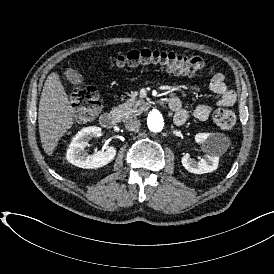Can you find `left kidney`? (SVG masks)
<instances>
[{"mask_svg": "<svg viewBox=\"0 0 274 274\" xmlns=\"http://www.w3.org/2000/svg\"><path fill=\"white\" fill-rule=\"evenodd\" d=\"M195 142L205 152L204 158L196 161L189 154H185L181 159L182 165L186 170L194 174H204L216 170L219 164V157L225 153L227 148L223 134L197 133Z\"/></svg>", "mask_w": 274, "mask_h": 274, "instance_id": "1", "label": "left kidney"}]
</instances>
